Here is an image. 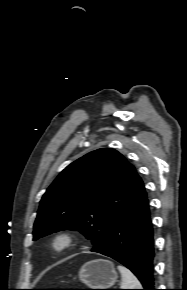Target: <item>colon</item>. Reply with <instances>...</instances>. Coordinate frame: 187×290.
<instances>
[{
    "label": "colon",
    "mask_w": 187,
    "mask_h": 290,
    "mask_svg": "<svg viewBox=\"0 0 187 290\" xmlns=\"http://www.w3.org/2000/svg\"><path fill=\"white\" fill-rule=\"evenodd\" d=\"M38 290H44V289H38ZM45 290H80V289H45Z\"/></svg>",
    "instance_id": "1"
}]
</instances>
